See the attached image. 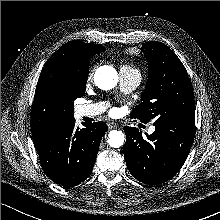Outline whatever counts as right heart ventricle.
<instances>
[{"label": "right heart ventricle", "instance_id": "e07e8e85", "mask_svg": "<svg viewBox=\"0 0 220 220\" xmlns=\"http://www.w3.org/2000/svg\"><path fill=\"white\" fill-rule=\"evenodd\" d=\"M122 68H127V69H130V67H129V66H123Z\"/></svg>", "mask_w": 220, "mask_h": 220}]
</instances>
